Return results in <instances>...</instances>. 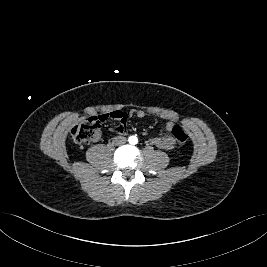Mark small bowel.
<instances>
[{"mask_svg":"<svg viewBox=\"0 0 267 267\" xmlns=\"http://www.w3.org/2000/svg\"><path fill=\"white\" fill-rule=\"evenodd\" d=\"M119 114H124L125 119L119 117ZM110 119H113L118 122V124L114 127H112V131L119 133V134H125L126 133V120L128 117V114L122 112V111H112L109 114H106ZM136 116L137 118H143L145 117V112L143 110H137V111H131L129 113V116ZM173 121H169L166 123L165 128L168 131H171V128L174 126ZM151 143L164 150H172L176 145V140L173 136H157L151 139Z\"/></svg>","mask_w":267,"mask_h":267,"instance_id":"1","label":"small bowel"}]
</instances>
